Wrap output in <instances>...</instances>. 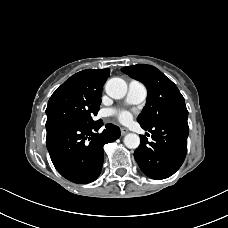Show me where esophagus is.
<instances>
[{"label":"esophagus","mask_w":228,"mask_h":228,"mask_svg":"<svg viewBox=\"0 0 228 228\" xmlns=\"http://www.w3.org/2000/svg\"><path fill=\"white\" fill-rule=\"evenodd\" d=\"M128 129L127 128H121V135L124 136L128 133Z\"/></svg>","instance_id":"1"}]
</instances>
